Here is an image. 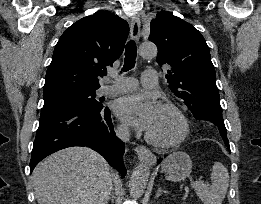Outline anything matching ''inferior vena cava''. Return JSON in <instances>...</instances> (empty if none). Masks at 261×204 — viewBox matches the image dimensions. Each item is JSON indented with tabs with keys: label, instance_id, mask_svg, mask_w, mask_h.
Instances as JSON below:
<instances>
[{
	"label": "inferior vena cava",
	"instance_id": "602c4592",
	"mask_svg": "<svg viewBox=\"0 0 261 204\" xmlns=\"http://www.w3.org/2000/svg\"><path fill=\"white\" fill-rule=\"evenodd\" d=\"M116 135L124 142L129 141L130 134L126 127H120L116 130Z\"/></svg>",
	"mask_w": 261,
	"mask_h": 204
}]
</instances>
